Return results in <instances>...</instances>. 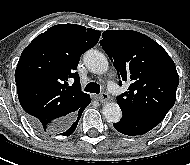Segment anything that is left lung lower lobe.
I'll return each instance as SVG.
<instances>
[{
    "mask_svg": "<svg viewBox=\"0 0 190 165\" xmlns=\"http://www.w3.org/2000/svg\"><path fill=\"white\" fill-rule=\"evenodd\" d=\"M123 117L118 123L114 124V128L125 135L136 136L142 135L157 126L162 117L153 115H144L122 110Z\"/></svg>",
    "mask_w": 190,
    "mask_h": 165,
    "instance_id": "obj_1",
    "label": "left lung lower lobe"
}]
</instances>
